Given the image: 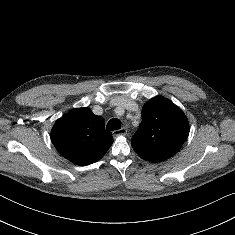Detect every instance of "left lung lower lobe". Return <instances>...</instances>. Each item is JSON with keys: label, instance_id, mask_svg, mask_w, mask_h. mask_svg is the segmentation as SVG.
<instances>
[{"label": "left lung lower lobe", "instance_id": "0a47b994", "mask_svg": "<svg viewBox=\"0 0 235 235\" xmlns=\"http://www.w3.org/2000/svg\"><path fill=\"white\" fill-rule=\"evenodd\" d=\"M152 162H160V161H152Z\"/></svg>", "mask_w": 235, "mask_h": 235}]
</instances>
